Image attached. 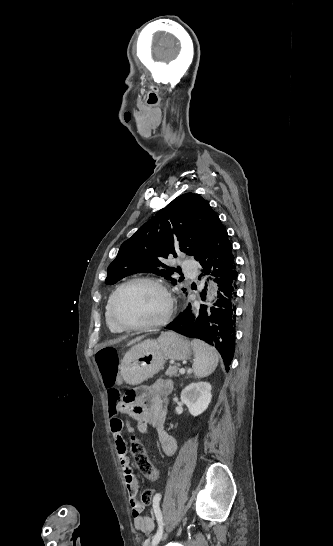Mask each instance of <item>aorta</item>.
<instances>
[{
    "label": "aorta",
    "instance_id": "obj_1",
    "mask_svg": "<svg viewBox=\"0 0 333 546\" xmlns=\"http://www.w3.org/2000/svg\"><path fill=\"white\" fill-rule=\"evenodd\" d=\"M213 297H214V294H213V292H212V291H210V292H209V300H212V299H213Z\"/></svg>",
    "mask_w": 333,
    "mask_h": 546
}]
</instances>
